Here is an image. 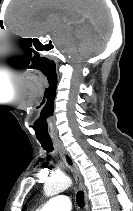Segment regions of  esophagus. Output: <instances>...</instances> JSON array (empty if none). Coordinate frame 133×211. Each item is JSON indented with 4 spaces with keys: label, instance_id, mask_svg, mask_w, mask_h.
Returning a JSON list of instances; mask_svg holds the SVG:
<instances>
[{
    "label": "esophagus",
    "instance_id": "obj_1",
    "mask_svg": "<svg viewBox=\"0 0 133 211\" xmlns=\"http://www.w3.org/2000/svg\"><path fill=\"white\" fill-rule=\"evenodd\" d=\"M54 145L57 148V150L59 151V153H60L62 159L64 160V162L66 163V165L72 171L77 186L79 187V189H81L83 191L85 209H86V211H88L89 210L88 194H87L86 187L84 185L83 178L79 171L78 166L73 161L69 152L66 150L65 146L63 145V143L61 141H54Z\"/></svg>",
    "mask_w": 133,
    "mask_h": 211
}]
</instances>
